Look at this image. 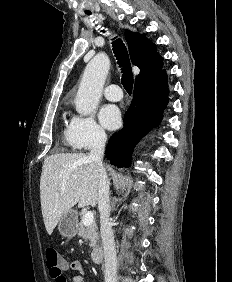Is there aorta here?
I'll return each mask as SVG.
<instances>
[{
	"instance_id": "obj_1",
	"label": "aorta",
	"mask_w": 232,
	"mask_h": 282,
	"mask_svg": "<svg viewBox=\"0 0 232 282\" xmlns=\"http://www.w3.org/2000/svg\"><path fill=\"white\" fill-rule=\"evenodd\" d=\"M110 68V60L104 53H98L86 66L76 95V110L81 115L91 114L102 95Z\"/></svg>"
}]
</instances>
